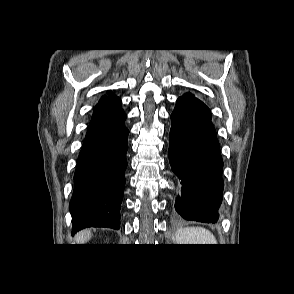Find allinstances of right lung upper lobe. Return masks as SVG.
I'll use <instances>...</instances> for the list:
<instances>
[{"mask_svg":"<svg viewBox=\"0 0 294 294\" xmlns=\"http://www.w3.org/2000/svg\"><path fill=\"white\" fill-rule=\"evenodd\" d=\"M108 95L109 96L107 97L106 96L102 97L98 104L110 103V102L118 100L116 96L112 95L111 91L108 92Z\"/></svg>","mask_w":294,"mask_h":294,"instance_id":"right-lung-upper-lobe-1","label":"right lung upper lobe"}]
</instances>
